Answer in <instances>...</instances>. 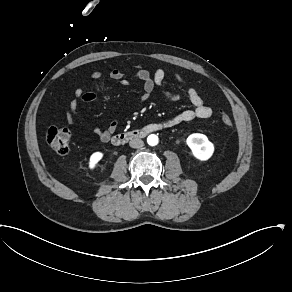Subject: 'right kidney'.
<instances>
[{
	"instance_id": "right-kidney-1",
	"label": "right kidney",
	"mask_w": 292,
	"mask_h": 292,
	"mask_svg": "<svg viewBox=\"0 0 292 292\" xmlns=\"http://www.w3.org/2000/svg\"><path fill=\"white\" fill-rule=\"evenodd\" d=\"M103 157H104L103 152H94L93 154H91L88 161V169L94 170L97 164L103 159Z\"/></svg>"
}]
</instances>
